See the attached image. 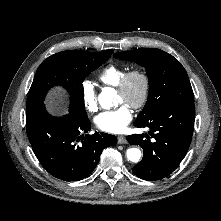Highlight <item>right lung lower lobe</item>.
Listing matches in <instances>:
<instances>
[{
    "mask_svg": "<svg viewBox=\"0 0 221 221\" xmlns=\"http://www.w3.org/2000/svg\"><path fill=\"white\" fill-rule=\"evenodd\" d=\"M91 129L87 114L69 110L62 117L51 116L44 105L26 111V130L32 149L52 176L64 181H79L89 176L104 148L117 143L114 135Z\"/></svg>",
    "mask_w": 221,
    "mask_h": 221,
    "instance_id": "right-lung-lower-lobe-1",
    "label": "right lung lower lobe"
}]
</instances>
